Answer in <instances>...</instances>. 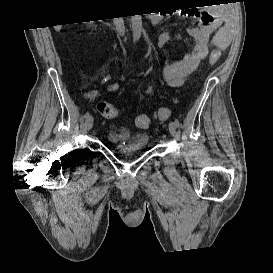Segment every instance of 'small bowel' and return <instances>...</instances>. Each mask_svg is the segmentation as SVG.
<instances>
[{
	"label": "small bowel",
	"instance_id": "c3829d8e",
	"mask_svg": "<svg viewBox=\"0 0 273 273\" xmlns=\"http://www.w3.org/2000/svg\"><path fill=\"white\" fill-rule=\"evenodd\" d=\"M194 25L186 29V33L194 40L193 47L180 59L163 71L164 79L171 86H180L197 69L211 48L225 49L232 35L231 16L224 8H210L195 10L187 13ZM172 40L170 33H164L157 37L159 45H167ZM110 91H117L118 84L112 83L108 86ZM152 88L145 91L150 94Z\"/></svg>",
	"mask_w": 273,
	"mask_h": 273
}]
</instances>
